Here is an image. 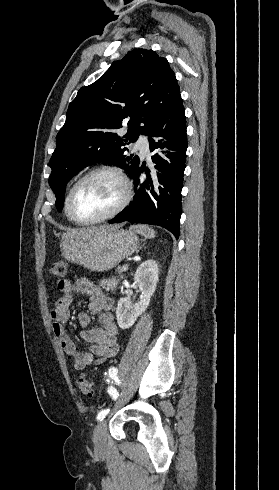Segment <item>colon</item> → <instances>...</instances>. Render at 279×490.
Here are the masks:
<instances>
[{"instance_id":"obj_1","label":"colon","mask_w":279,"mask_h":490,"mask_svg":"<svg viewBox=\"0 0 279 490\" xmlns=\"http://www.w3.org/2000/svg\"><path fill=\"white\" fill-rule=\"evenodd\" d=\"M50 270L52 274L57 277L63 278L67 273V262L64 259H59L51 263ZM76 386L79 393L87 398H92L94 394L93 384L90 380L83 376L76 378Z\"/></svg>"}]
</instances>
